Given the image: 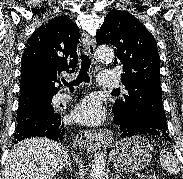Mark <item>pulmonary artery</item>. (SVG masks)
<instances>
[{"mask_svg":"<svg viewBox=\"0 0 183 179\" xmlns=\"http://www.w3.org/2000/svg\"><path fill=\"white\" fill-rule=\"evenodd\" d=\"M98 83L102 87L115 88L118 86V79L112 71H102L98 76ZM70 97L66 93H58L54 96V102L59 104Z\"/></svg>","mask_w":183,"mask_h":179,"instance_id":"e3ab8cb5","label":"pulmonary artery"}]
</instances>
